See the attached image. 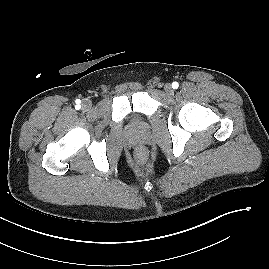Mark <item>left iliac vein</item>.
<instances>
[{"label": "left iliac vein", "instance_id": "4c4485c4", "mask_svg": "<svg viewBox=\"0 0 269 269\" xmlns=\"http://www.w3.org/2000/svg\"><path fill=\"white\" fill-rule=\"evenodd\" d=\"M164 90H165V92H166L168 95H172V94H173L172 86H171V84H169V83H167V84L164 86Z\"/></svg>", "mask_w": 269, "mask_h": 269}]
</instances>
